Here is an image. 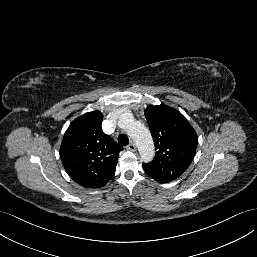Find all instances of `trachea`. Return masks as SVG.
Wrapping results in <instances>:
<instances>
[{"instance_id":"3493384b","label":"trachea","mask_w":257,"mask_h":257,"mask_svg":"<svg viewBox=\"0 0 257 257\" xmlns=\"http://www.w3.org/2000/svg\"><path fill=\"white\" fill-rule=\"evenodd\" d=\"M118 143H119L120 145H122V146L128 145V144H129V139H128L127 135H125V134H120V135L118 136Z\"/></svg>"}]
</instances>
